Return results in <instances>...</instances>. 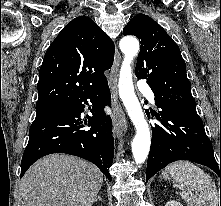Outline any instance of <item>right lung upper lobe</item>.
Segmentation results:
<instances>
[{
	"instance_id": "1",
	"label": "right lung upper lobe",
	"mask_w": 221,
	"mask_h": 206,
	"mask_svg": "<svg viewBox=\"0 0 221 206\" xmlns=\"http://www.w3.org/2000/svg\"><path fill=\"white\" fill-rule=\"evenodd\" d=\"M114 43L86 16L73 19L48 48L39 71L36 108L74 102L106 81Z\"/></svg>"
}]
</instances>
